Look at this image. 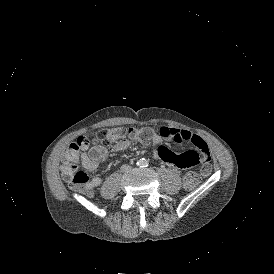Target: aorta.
Instances as JSON below:
<instances>
[{
	"instance_id": "762f6f07",
	"label": "aorta",
	"mask_w": 274,
	"mask_h": 274,
	"mask_svg": "<svg viewBox=\"0 0 274 274\" xmlns=\"http://www.w3.org/2000/svg\"><path fill=\"white\" fill-rule=\"evenodd\" d=\"M139 164H140L141 166H144V165L147 164V162H146L145 160H140V161H139Z\"/></svg>"
}]
</instances>
